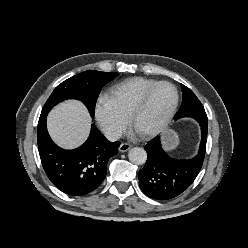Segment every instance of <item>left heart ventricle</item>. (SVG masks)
<instances>
[{
  "mask_svg": "<svg viewBox=\"0 0 248 248\" xmlns=\"http://www.w3.org/2000/svg\"><path fill=\"white\" fill-rule=\"evenodd\" d=\"M174 100L171 87L162 85L151 94L145 108L138 115L135 122L137 132H145L159 124L169 112Z\"/></svg>",
  "mask_w": 248,
  "mask_h": 248,
  "instance_id": "obj_1",
  "label": "left heart ventricle"
}]
</instances>
